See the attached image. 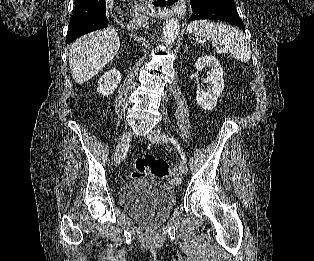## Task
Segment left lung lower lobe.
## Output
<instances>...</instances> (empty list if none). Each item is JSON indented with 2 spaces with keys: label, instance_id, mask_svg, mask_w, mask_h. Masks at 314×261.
<instances>
[{
  "label": "left lung lower lobe",
  "instance_id": "left-lung-lower-lobe-1",
  "mask_svg": "<svg viewBox=\"0 0 314 261\" xmlns=\"http://www.w3.org/2000/svg\"><path fill=\"white\" fill-rule=\"evenodd\" d=\"M191 7L193 14L189 21L198 19L221 20L236 25L245 32L234 0H191Z\"/></svg>",
  "mask_w": 314,
  "mask_h": 261
}]
</instances>
